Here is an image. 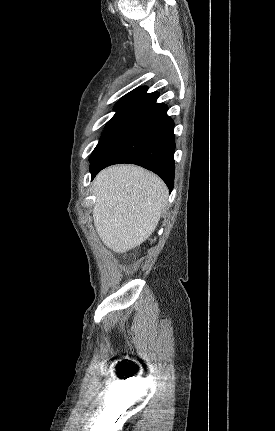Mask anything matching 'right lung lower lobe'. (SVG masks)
<instances>
[{"label":"right lung lower lobe","mask_w":275,"mask_h":431,"mask_svg":"<svg viewBox=\"0 0 275 431\" xmlns=\"http://www.w3.org/2000/svg\"><path fill=\"white\" fill-rule=\"evenodd\" d=\"M167 110V105L154 102L135 113L91 162L92 179L107 166L132 163L159 175L171 192L175 136Z\"/></svg>","instance_id":"obj_1"}]
</instances>
